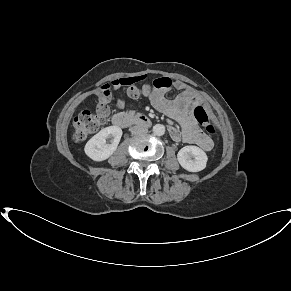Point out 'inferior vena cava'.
<instances>
[{
	"mask_svg": "<svg viewBox=\"0 0 291 291\" xmlns=\"http://www.w3.org/2000/svg\"><path fill=\"white\" fill-rule=\"evenodd\" d=\"M130 131L134 135L144 134L148 132V129L142 126H133L130 128Z\"/></svg>",
	"mask_w": 291,
	"mask_h": 291,
	"instance_id": "1",
	"label": "inferior vena cava"
}]
</instances>
